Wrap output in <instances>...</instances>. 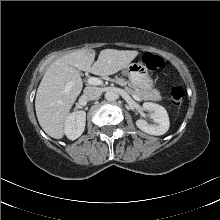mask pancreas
<instances>
[{
    "label": "pancreas",
    "instance_id": "cf45deb5",
    "mask_svg": "<svg viewBox=\"0 0 220 220\" xmlns=\"http://www.w3.org/2000/svg\"><path fill=\"white\" fill-rule=\"evenodd\" d=\"M113 81L121 86H127V84H128L123 78L116 77ZM126 89L130 93L137 95L139 98H141L143 100H153V101H161L162 100V97L158 91L145 92V91H142V90H140L136 87H133L129 84H128V87H126Z\"/></svg>",
    "mask_w": 220,
    "mask_h": 220
}]
</instances>
